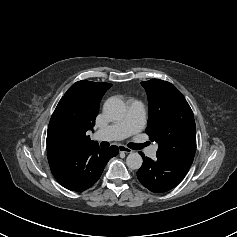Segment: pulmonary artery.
<instances>
[{
  "label": "pulmonary artery",
  "instance_id": "1",
  "mask_svg": "<svg viewBox=\"0 0 237 237\" xmlns=\"http://www.w3.org/2000/svg\"><path fill=\"white\" fill-rule=\"evenodd\" d=\"M145 125V106L141 101L133 100L128 108L126 116L105 128L98 130L95 137L100 140H122L129 135L140 132ZM157 146L148 149V155L154 157Z\"/></svg>",
  "mask_w": 237,
  "mask_h": 237
}]
</instances>
